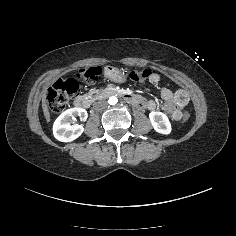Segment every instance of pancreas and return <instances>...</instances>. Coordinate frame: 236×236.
Masks as SVG:
<instances>
[{
	"mask_svg": "<svg viewBox=\"0 0 236 236\" xmlns=\"http://www.w3.org/2000/svg\"><path fill=\"white\" fill-rule=\"evenodd\" d=\"M88 96H91V98H92L93 101L102 98L101 92H100V90H98V89H92V90H90V91L88 92Z\"/></svg>",
	"mask_w": 236,
	"mask_h": 236,
	"instance_id": "1",
	"label": "pancreas"
}]
</instances>
